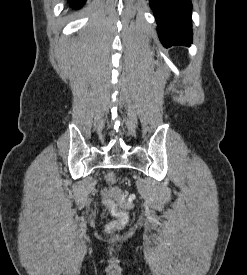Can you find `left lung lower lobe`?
<instances>
[{"mask_svg": "<svg viewBox=\"0 0 247 275\" xmlns=\"http://www.w3.org/2000/svg\"><path fill=\"white\" fill-rule=\"evenodd\" d=\"M160 41L171 46H190L192 43L191 0H150Z\"/></svg>", "mask_w": 247, "mask_h": 275, "instance_id": "1", "label": "left lung lower lobe"}]
</instances>
